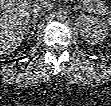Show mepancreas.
Returning a JSON list of instances; mask_svg holds the SVG:
<instances>
[{
    "mask_svg": "<svg viewBox=\"0 0 111 106\" xmlns=\"http://www.w3.org/2000/svg\"><path fill=\"white\" fill-rule=\"evenodd\" d=\"M83 4L85 5V9L90 13L102 16L109 15V20L111 22V13L105 0H84Z\"/></svg>",
    "mask_w": 111,
    "mask_h": 106,
    "instance_id": "1",
    "label": "pancreas"
}]
</instances>
